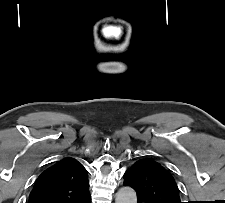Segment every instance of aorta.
<instances>
[{
    "label": "aorta",
    "mask_w": 225,
    "mask_h": 203,
    "mask_svg": "<svg viewBox=\"0 0 225 203\" xmlns=\"http://www.w3.org/2000/svg\"><path fill=\"white\" fill-rule=\"evenodd\" d=\"M115 203H137L136 192L130 187H122L116 194Z\"/></svg>",
    "instance_id": "1"
}]
</instances>
